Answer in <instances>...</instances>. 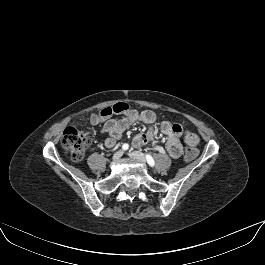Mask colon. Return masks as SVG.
Returning a JSON list of instances; mask_svg holds the SVG:
<instances>
[{
    "mask_svg": "<svg viewBox=\"0 0 265 265\" xmlns=\"http://www.w3.org/2000/svg\"><path fill=\"white\" fill-rule=\"evenodd\" d=\"M131 105L124 102L116 103L112 106L104 107L92 116L93 123H99L109 120L113 115H124L131 110ZM93 140V132L91 129H80L77 127H69L64 131L62 138V147L64 151L75 161H80L86 150L89 148ZM198 155V150L194 146L186 149L184 158L187 161L194 160Z\"/></svg>",
    "mask_w": 265,
    "mask_h": 265,
    "instance_id": "1",
    "label": "colon"
}]
</instances>
